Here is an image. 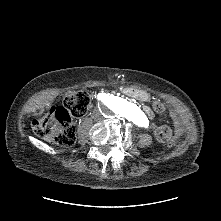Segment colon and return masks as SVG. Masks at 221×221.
<instances>
[{
    "label": "colon",
    "mask_w": 221,
    "mask_h": 221,
    "mask_svg": "<svg viewBox=\"0 0 221 221\" xmlns=\"http://www.w3.org/2000/svg\"><path fill=\"white\" fill-rule=\"evenodd\" d=\"M90 102L86 91H68L62 97V106L51 108L49 112L33 121V128L37 135L50 137L59 146L70 147L75 143V128L72 118L82 116ZM153 108L163 113L165 107L159 100L153 101ZM156 137L160 142H168L170 146L176 143L172 138L171 129L162 125L156 130Z\"/></svg>",
    "instance_id": "5ec220e1"
}]
</instances>
